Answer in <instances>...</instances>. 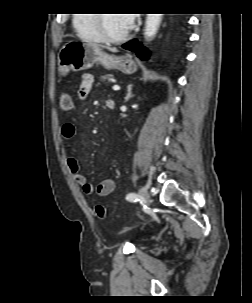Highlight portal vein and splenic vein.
<instances>
[{"mask_svg":"<svg viewBox=\"0 0 252 303\" xmlns=\"http://www.w3.org/2000/svg\"><path fill=\"white\" fill-rule=\"evenodd\" d=\"M113 90H114V91H118V90H120V87H119L118 85H114V86H113Z\"/></svg>","mask_w":252,"mask_h":303,"instance_id":"portal-vein-and-splenic-vein-1","label":"portal vein and splenic vein"}]
</instances>
